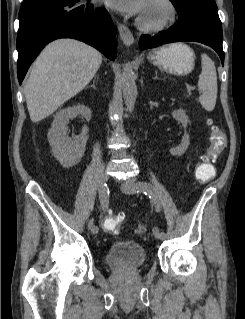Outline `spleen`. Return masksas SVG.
Returning <instances> with one entry per match:
<instances>
[{"instance_id": "3e777b00", "label": "spleen", "mask_w": 245, "mask_h": 319, "mask_svg": "<svg viewBox=\"0 0 245 319\" xmlns=\"http://www.w3.org/2000/svg\"><path fill=\"white\" fill-rule=\"evenodd\" d=\"M201 69L198 88L202 91V95L199 97V102L205 110L212 111L217 98V73L214 62L205 53L201 54Z\"/></svg>"}]
</instances>
